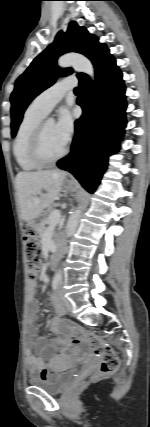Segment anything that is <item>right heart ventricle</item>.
Wrapping results in <instances>:
<instances>
[{
    "label": "right heart ventricle",
    "mask_w": 150,
    "mask_h": 427,
    "mask_svg": "<svg viewBox=\"0 0 150 427\" xmlns=\"http://www.w3.org/2000/svg\"><path fill=\"white\" fill-rule=\"evenodd\" d=\"M43 118V114L29 106L17 129L13 142V154L18 166L23 171H35L41 167L30 157V143L35 129Z\"/></svg>",
    "instance_id": "1"
}]
</instances>
